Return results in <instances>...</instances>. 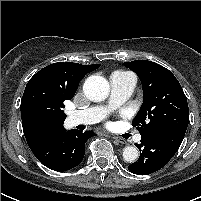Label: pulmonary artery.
<instances>
[{
    "instance_id": "e3ab8cb5",
    "label": "pulmonary artery",
    "mask_w": 201,
    "mask_h": 201,
    "mask_svg": "<svg viewBox=\"0 0 201 201\" xmlns=\"http://www.w3.org/2000/svg\"><path fill=\"white\" fill-rule=\"evenodd\" d=\"M136 77L132 73L115 72L110 77L111 95L105 106H93L84 110L72 111L67 116V124H94L102 120L107 113L122 106L133 94L136 86ZM137 136V141L140 140Z\"/></svg>"
}]
</instances>
